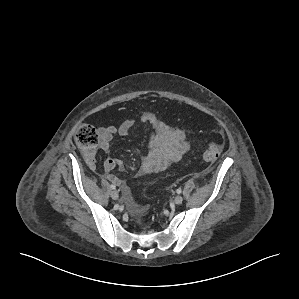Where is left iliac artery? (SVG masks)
<instances>
[{
  "label": "left iliac artery",
  "mask_w": 299,
  "mask_h": 299,
  "mask_svg": "<svg viewBox=\"0 0 299 299\" xmlns=\"http://www.w3.org/2000/svg\"><path fill=\"white\" fill-rule=\"evenodd\" d=\"M176 192H177L178 194H180V193L182 192V189H181V188H178V189L176 190Z\"/></svg>",
  "instance_id": "obj_1"
}]
</instances>
